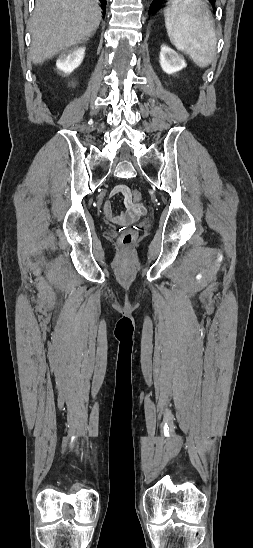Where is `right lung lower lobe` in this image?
<instances>
[{
  "instance_id": "98d812e1",
  "label": "right lung lower lobe",
  "mask_w": 253,
  "mask_h": 548,
  "mask_svg": "<svg viewBox=\"0 0 253 548\" xmlns=\"http://www.w3.org/2000/svg\"><path fill=\"white\" fill-rule=\"evenodd\" d=\"M102 2V5H103V9H106V0H100Z\"/></svg>"
}]
</instances>
